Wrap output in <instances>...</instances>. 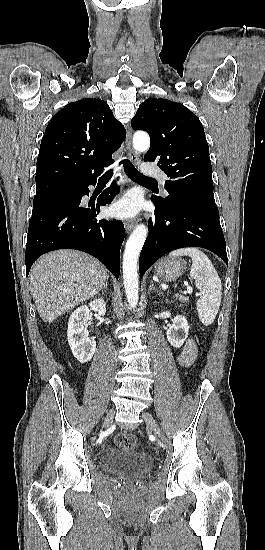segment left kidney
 I'll list each match as a JSON object with an SVG mask.
<instances>
[{"mask_svg":"<svg viewBox=\"0 0 265 550\" xmlns=\"http://www.w3.org/2000/svg\"><path fill=\"white\" fill-rule=\"evenodd\" d=\"M188 332L189 325L187 319L182 315H178L173 319V324L168 328L166 335L173 347L180 348L187 338Z\"/></svg>","mask_w":265,"mask_h":550,"instance_id":"1","label":"left kidney"}]
</instances>
